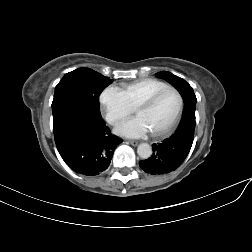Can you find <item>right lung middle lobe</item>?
Wrapping results in <instances>:
<instances>
[{"label":"right lung middle lobe","mask_w":252,"mask_h":252,"mask_svg":"<svg viewBox=\"0 0 252 252\" xmlns=\"http://www.w3.org/2000/svg\"><path fill=\"white\" fill-rule=\"evenodd\" d=\"M112 82L109 77L85 67L65 74L55 88L53 113L71 107L101 116L99 95Z\"/></svg>","instance_id":"obj_1"}]
</instances>
